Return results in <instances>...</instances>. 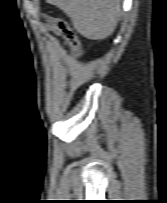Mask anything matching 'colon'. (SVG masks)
Returning <instances> with one entry per match:
<instances>
[{"label": "colon", "mask_w": 167, "mask_h": 203, "mask_svg": "<svg viewBox=\"0 0 167 203\" xmlns=\"http://www.w3.org/2000/svg\"><path fill=\"white\" fill-rule=\"evenodd\" d=\"M48 19L53 23L61 37L68 43L71 47L74 57L77 60H80L83 55L82 47L80 41L77 37V34L72 29V27L68 24V22L62 18L58 17H51L49 16Z\"/></svg>", "instance_id": "1"}]
</instances>
